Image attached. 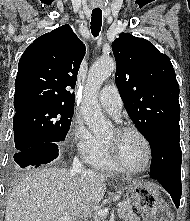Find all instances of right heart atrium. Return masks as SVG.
<instances>
[{
	"mask_svg": "<svg viewBox=\"0 0 190 221\" xmlns=\"http://www.w3.org/2000/svg\"><path fill=\"white\" fill-rule=\"evenodd\" d=\"M75 153L85 162H89L98 152L100 140L95 137L79 118L72 120L68 133Z\"/></svg>",
	"mask_w": 190,
	"mask_h": 221,
	"instance_id": "d8ad5b80",
	"label": "right heart atrium"
}]
</instances>
